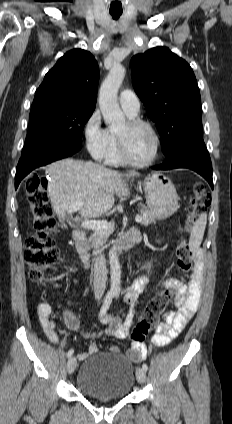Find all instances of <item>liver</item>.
<instances>
[{
    "mask_svg": "<svg viewBox=\"0 0 232 424\" xmlns=\"http://www.w3.org/2000/svg\"><path fill=\"white\" fill-rule=\"evenodd\" d=\"M50 177L48 196L54 212L65 219L69 205L83 202L79 214L85 219L106 214L118 197L130 194L126 179L140 174H122L101 165L71 158L56 161L47 167Z\"/></svg>",
    "mask_w": 232,
    "mask_h": 424,
    "instance_id": "liver-1",
    "label": "liver"
}]
</instances>
